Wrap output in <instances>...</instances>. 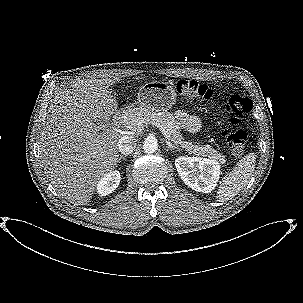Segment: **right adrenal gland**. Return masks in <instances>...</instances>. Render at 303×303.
Returning a JSON list of instances; mask_svg holds the SVG:
<instances>
[{"instance_id":"right-adrenal-gland-1","label":"right adrenal gland","mask_w":303,"mask_h":303,"mask_svg":"<svg viewBox=\"0 0 303 303\" xmlns=\"http://www.w3.org/2000/svg\"><path fill=\"white\" fill-rule=\"evenodd\" d=\"M127 156H128V154L120 155V157H119V159H118V162H120L121 159H125Z\"/></svg>"}]
</instances>
